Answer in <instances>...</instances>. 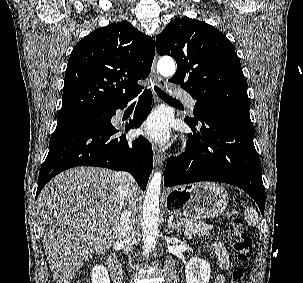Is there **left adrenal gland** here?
<instances>
[{
    "label": "left adrenal gland",
    "instance_id": "1",
    "mask_svg": "<svg viewBox=\"0 0 303 283\" xmlns=\"http://www.w3.org/2000/svg\"><path fill=\"white\" fill-rule=\"evenodd\" d=\"M167 222H168L169 230H177V232H180V228L175 223H173L172 221H169V220Z\"/></svg>",
    "mask_w": 303,
    "mask_h": 283
}]
</instances>
